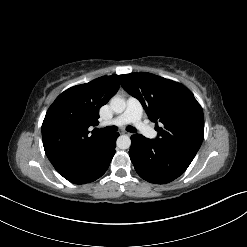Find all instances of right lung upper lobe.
I'll use <instances>...</instances> for the list:
<instances>
[{
	"instance_id": "cb5924a9",
	"label": "right lung upper lobe",
	"mask_w": 247,
	"mask_h": 247,
	"mask_svg": "<svg viewBox=\"0 0 247 247\" xmlns=\"http://www.w3.org/2000/svg\"><path fill=\"white\" fill-rule=\"evenodd\" d=\"M120 87V76H103L61 93L42 124L45 153L54 167L86 155L107 134L88 128L97 125L99 109Z\"/></svg>"
}]
</instances>
